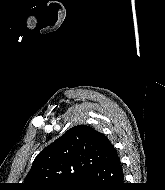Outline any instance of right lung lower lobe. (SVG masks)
Instances as JSON below:
<instances>
[{
    "label": "right lung lower lobe",
    "mask_w": 165,
    "mask_h": 190,
    "mask_svg": "<svg viewBox=\"0 0 165 190\" xmlns=\"http://www.w3.org/2000/svg\"><path fill=\"white\" fill-rule=\"evenodd\" d=\"M79 190H124V175L119 156L97 165L81 177Z\"/></svg>",
    "instance_id": "1"
}]
</instances>
